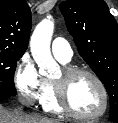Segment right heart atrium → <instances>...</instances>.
<instances>
[{"mask_svg": "<svg viewBox=\"0 0 118 123\" xmlns=\"http://www.w3.org/2000/svg\"><path fill=\"white\" fill-rule=\"evenodd\" d=\"M14 83L22 103L34 105L45 94L46 80L39 74L34 61L24 56L14 71Z\"/></svg>", "mask_w": 118, "mask_h": 123, "instance_id": "d8ad5b80", "label": "right heart atrium"}]
</instances>
